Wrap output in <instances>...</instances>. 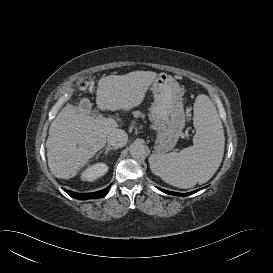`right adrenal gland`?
Returning a JSON list of instances; mask_svg holds the SVG:
<instances>
[{
	"label": "right adrenal gland",
	"instance_id": "2a0ac1e0",
	"mask_svg": "<svg viewBox=\"0 0 273 273\" xmlns=\"http://www.w3.org/2000/svg\"><path fill=\"white\" fill-rule=\"evenodd\" d=\"M110 150H117V148L107 146L104 150L100 151V152L97 154V158L99 157V155H100L102 152H104L105 155H108V152H109Z\"/></svg>",
	"mask_w": 273,
	"mask_h": 273
}]
</instances>
